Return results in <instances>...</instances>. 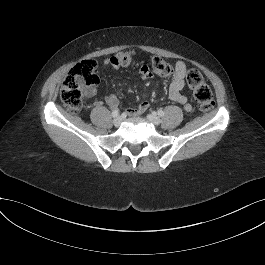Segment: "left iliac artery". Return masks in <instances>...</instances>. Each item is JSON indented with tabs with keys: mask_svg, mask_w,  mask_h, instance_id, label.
<instances>
[{
	"mask_svg": "<svg viewBox=\"0 0 265 265\" xmlns=\"http://www.w3.org/2000/svg\"><path fill=\"white\" fill-rule=\"evenodd\" d=\"M158 115L161 116V117L164 116V111L159 110V111H158Z\"/></svg>",
	"mask_w": 265,
	"mask_h": 265,
	"instance_id": "obj_1",
	"label": "left iliac artery"
}]
</instances>
